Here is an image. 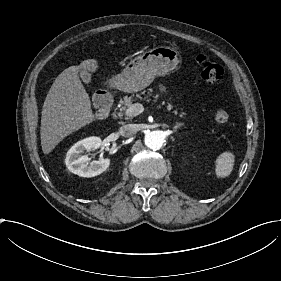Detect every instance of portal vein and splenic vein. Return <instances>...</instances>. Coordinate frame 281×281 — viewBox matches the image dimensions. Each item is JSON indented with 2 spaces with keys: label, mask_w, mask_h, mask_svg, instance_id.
Returning a JSON list of instances; mask_svg holds the SVG:
<instances>
[{
  "label": "portal vein and splenic vein",
  "mask_w": 281,
  "mask_h": 281,
  "mask_svg": "<svg viewBox=\"0 0 281 281\" xmlns=\"http://www.w3.org/2000/svg\"><path fill=\"white\" fill-rule=\"evenodd\" d=\"M143 112V105L141 103H134L130 108L127 109L128 115H139Z\"/></svg>",
  "instance_id": "18ae733b"
}]
</instances>
